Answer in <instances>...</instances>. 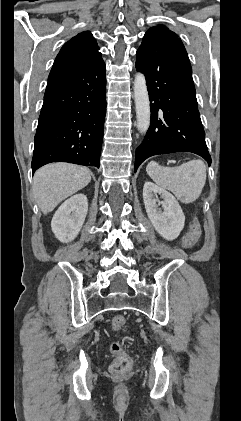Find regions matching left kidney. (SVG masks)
<instances>
[{"instance_id":"1","label":"left kidney","mask_w":241,"mask_h":421,"mask_svg":"<svg viewBox=\"0 0 241 421\" xmlns=\"http://www.w3.org/2000/svg\"><path fill=\"white\" fill-rule=\"evenodd\" d=\"M157 195L163 199L159 201ZM145 209L155 230L166 240L176 239L185 224L184 213L175 197L163 188L147 181L143 187ZM162 205L161 210L159 206Z\"/></svg>"}]
</instances>
